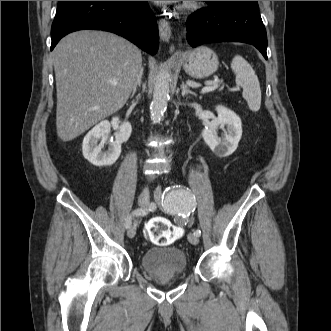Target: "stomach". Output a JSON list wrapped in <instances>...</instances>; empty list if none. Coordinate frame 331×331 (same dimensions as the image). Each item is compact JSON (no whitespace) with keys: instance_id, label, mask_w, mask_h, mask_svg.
<instances>
[{"instance_id":"0dacf381","label":"stomach","mask_w":331,"mask_h":331,"mask_svg":"<svg viewBox=\"0 0 331 331\" xmlns=\"http://www.w3.org/2000/svg\"><path fill=\"white\" fill-rule=\"evenodd\" d=\"M219 65L216 53L206 47H197L184 55V69L193 78L202 79L213 74Z\"/></svg>"}]
</instances>
